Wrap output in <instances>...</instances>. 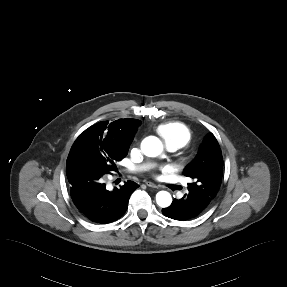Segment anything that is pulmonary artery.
Segmentation results:
<instances>
[{
	"mask_svg": "<svg viewBox=\"0 0 287 287\" xmlns=\"http://www.w3.org/2000/svg\"><path fill=\"white\" fill-rule=\"evenodd\" d=\"M168 150L169 151H175L176 149H174V148H168ZM141 170V168H137V169H135L133 172H137V171H140Z\"/></svg>",
	"mask_w": 287,
	"mask_h": 287,
	"instance_id": "1",
	"label": "pulmonary artery"
}]
</instances>
